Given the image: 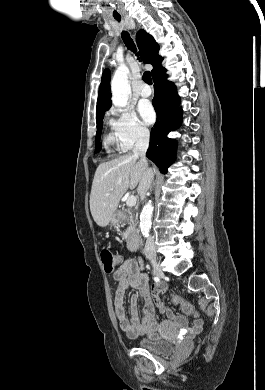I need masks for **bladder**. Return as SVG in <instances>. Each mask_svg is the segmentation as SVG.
Returning <instances> with one entry per match:
<instances>
[{"mask_svg":"<svg viewBox=\"0 0 265 390\" xmlns=\"http://www.w3.org/2000/svg\"><path fill=\"white\" fill-rule=\"evenodd\" d=\"M137 345L156 353H170L173 351V344L169 341L160 339L157 336H144L137 339Z\"/></svg>","mask_w":265,"mask_h":390,"instance_id":"bladder-1","label":"bladder"}]
</instances>
